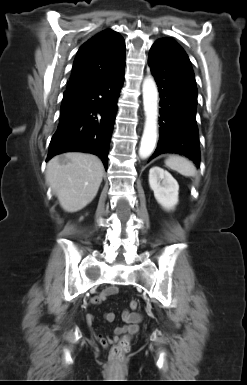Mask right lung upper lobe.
<instances>
[{
  "label": "right lung upper lobe",
  "mask_w": 247,
  "mask_h": 385,
  "mask_svg": "<svg viewBox=\"0 0 247 385\" xmlns=\"http://www.w3.org/2000/svg\"><path fill=\"white\" fill-rule=\"evenodd\" d=\"M124 66V39L117 32L104 30L80 47L65 93L116 73Z\"/></svg>",
  "instance_id": "cb5924a9"
}]
</instances>
